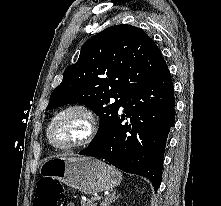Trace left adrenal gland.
<instances>
[{"label": "left adrenal gland", "instance_id": "1", "mask_svg": "<svg viewBox=\"0 0 221 206\" xmlns=\"http://www.w3.org/2000/svg\"><path fill=\"white\" fill-rule=\"evenodd\" d=\"M119 195L116 196V193L113 192L112 194L106 196L104 200L101 202L100 206H109L112 202H114Z\"/></svg>", "mask_w": 221, "mask_h": 206}]
</instances>
